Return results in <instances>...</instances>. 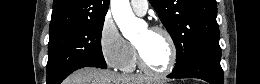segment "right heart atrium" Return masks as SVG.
Listing matches in <instances>:
<instances>
[{
    "mask_svg": "<svg viewBox=\"0 0 260 84\" xmlns=\"http://www.w3.org/2000/svg\"><path fill=\"white\" fill-rule=\"evenodd\" d=\"M102 58L112 68H120L129 54L128 42L120 34L114 20L107 15L102 21L98 34Z\"/></svg>",
    "mask_w": 260,
    "mask_h": 84,
    "instance_id": "obj_1",
    "label": "right heart atrium"
}]
</instances>
